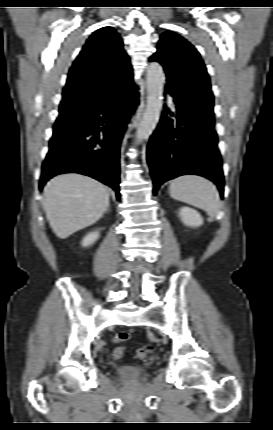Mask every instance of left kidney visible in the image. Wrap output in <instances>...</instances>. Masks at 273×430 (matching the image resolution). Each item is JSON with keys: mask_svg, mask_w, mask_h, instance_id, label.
I'll return each instance as SVG.
<instances>
[{"mask_svg": "<svg viewBox=\"0 0 273 430\" xmlns=\"http://www.w3.org/2000/svg\"><path fill=\"white\" fill-rule=\"evenodd\" d=\"M180 217L182 222L189 227H199L203 224V219L200 213L190 207H182L180 209Z\"/></svg>", "mask_w": 273, "mask_h": 430, "instance_id": "1", "label": "left kidney"}]
</instances>
